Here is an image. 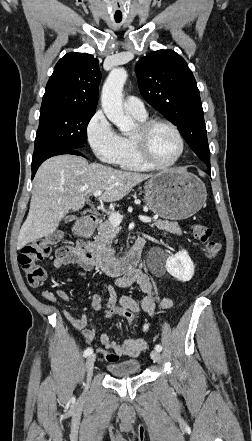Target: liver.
<instances>
[{"label": "liver", "instance_id": "1", "mask_svg": "<svg viewBox=\"0 0 252 441\" xmlns=\"http://www.w3.org/2000/svg\"><path fill=\"white\" fill-rule=\"evenodd\" d=\"M152 177L89 164L73 155L47 159L35 175L29 213L20 229L17 249L53 234L63 217L70 210H80L93 192L103 191L100 201H119L134 186Z\"/></svg>", "mask_w": 252, "mask_h": 441}]
</instances>
